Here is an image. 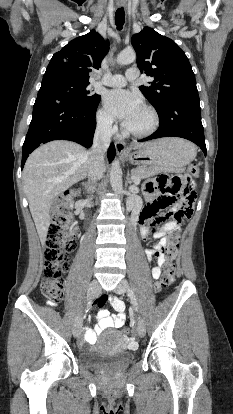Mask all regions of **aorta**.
Instances as JSON below:
<instances>
[{
    "instance_id": "762f6f07",
    "label": "aorta",
    "mask_w": 233,
    "mask_h": 414,
    "mask_svg": "<svg viewBox=\"0 0 233 414\" xmlns=\"http://www.w3.org/2000/svg\"><path fill=\"white\" fill-rule=\"evenodd\" d=\"M136 60V53L133 50H124L117 56V63L120 65L131 64ZM110 183L113 191L116 194H121L123 192L122 185V170L120 167V162L114 160L111 166L110 171Z\"/></svg>"
}]
</instances>
